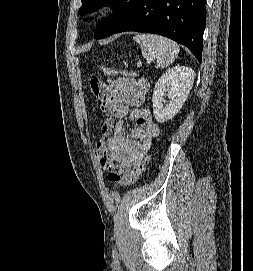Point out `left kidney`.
Here are the masks:
<instances>
[{"label": "left kidney", "instance_id": "left-kidney-1", "mask_svg": "<svg viewBox=\"0 0 253 271\" xmlns=\"http://www.w3.org/2000/svg\"><path fill=\"white\" fill-rule=\"evenodd\" d=\"M194 78L193 69L175 66L158 79L152 96L153 114L157 122L163 123L178 113L188 97ZM164 96L169 98L167 104Z\"/></svg>", "mask_w": 253, "mask_h": 271}]
</instances>
